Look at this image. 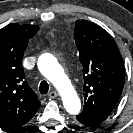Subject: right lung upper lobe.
Segmentation results:
<instances>
[{
    "instance_id": "cb5924a9",
    "label": "right lung upper lobe",
    "mask_w": 133,
    "mask_h": 133,
    "mask_svg": "<svg viewBox=\"0 0 133 133\" xmlns=\"http://www.w3.org/2000/svg\"><path fill=\"white\" fill-rule=\"evenodd\" d=\"M38 29L13 23L0 30V126L4 129L26 124L41 105L21 66L28 41Z\"/></svg>"
}]
</instances>
